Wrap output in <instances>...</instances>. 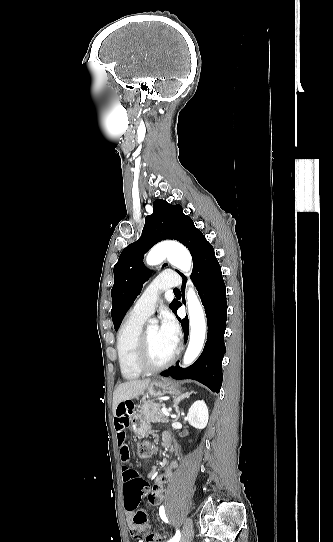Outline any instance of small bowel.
Segmentation results:
<instances>
[{"instance_id": "small-bowel-1", "label": "small bowel", "mask_w": 333, "mask_h": 542, "mask_svg": "<svg viewBox=\"0 0 333 542\" xmlns=\"http://www.w3.org/2000/svg\"><path fill=\"white\" fill-rule=\"evenodd\" d=\"M132 408H133V403L131 400H122L119 404V407L116 409L115 417H114L116 444H117V448L121 456V459L123 461H127L129 458V441H128L127 429L132 420V413L130 412ZM166 435L167 434L164 435L163 439L166 444H170L171 442L167 440ZM176 467H177V462H172L165 473L155 478V490L149 494V498H148L150 504L152 505L161 504L164 498L162 487L171 479L172 472ZM130 472L131 471L127 470L126 467H123V480L125 483H127L130 480ZM129 494L130 492L127 489V496ZM137 517H138V513L136 512L135 514H133L132 509H127L126 514L124 515V518L126 520H129L128 528H129L130 533L134 537L147 531L150 528V525L147 523H143V524L138 523ZM156 534L161 539V542H162L161 534H158V533Z\"/></svg>"}]
</instances>
